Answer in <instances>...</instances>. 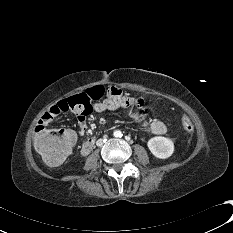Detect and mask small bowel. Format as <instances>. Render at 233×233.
<instances>
[{"mask_svg":"<svg viewBox=\"0 0 233 233\" xmlns=\"http://www.w3.org/2000/svg\"><path fill=\"white\" fill-rule=\"evenodd\" d=\"M67 110L68 109H64L62 101L51 106L41 116L37 127L46 128L49 123ZM116 110L127 112L136 122H143L144 128L148 133L163 135L167 132V127L162 121L143 120V118H148L152 114V107L147 101L142 98H135L132 94L125 93L118 86L111 87L107 92V97L94 103L89 111L71 109V112L78 119V133L82 135L87 131L86 117L88 115ZM95 146V138H88L86 141L79 144L78 150L81 155L87 156L92 153Z\"/></svg>","mask_w":233,"mask_h":233,"instance_id":"obj_1","label":"small bowel"}]
</instances>
